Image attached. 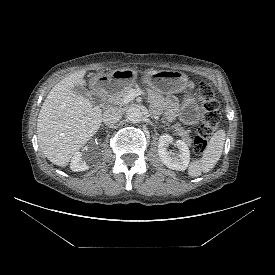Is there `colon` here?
I'll use <instances>...</instances> for the list:
<instances>
[{"instance_id":"obj_1","label":"colon","mask_w":275,"mask_h":275,"mask_svg":"<svg viewBox=\"0 0 275 275\" xmlns=\"http://www.w3.org/2000/svg\"><path fill=\"white\" fill-rule=\"evenodd\" d=\"M197 99L201 107V125L194 139V151L197 154H203L209 138L217 129L220 121V111L219 103L209 84L200 83Z\"/></svg>"}]
</instances>
